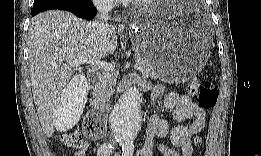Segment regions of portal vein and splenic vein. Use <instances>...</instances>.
<instances>
[{
	"mask_svg": "<svg viewBox=\"0 0 261 156\" xmlns=\"http://www.w3.org/2000/svg\"><path fill=\"white\" fill-rule=\"evenodd\" d=\"M90 64V65H93L95 67H99V68H102L106 71H114L115 70V66L110 64V63H107V62H104V61H101L99 59L97 60H83V59H79V60H75L73 62H70L69 63V66L70 67H78L80 66L81 64ZM142 65L141 63H139V61H136L135 65H134V68L139 70L141 69Z\"/></svg>",
	"mask_w": 261,
	"mask_h": 156,
	"instance_id": "1",
	"label": "portal vein and splenic vein"
}]
</instances>
